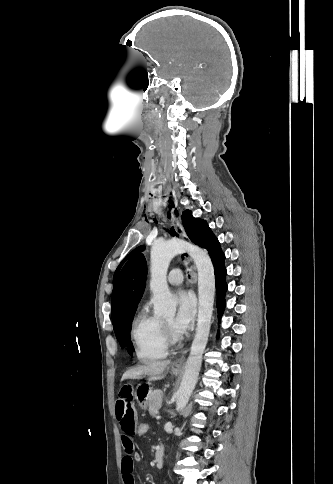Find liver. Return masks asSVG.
Returning a JSON list of instances; mask_svg holds the SVG:
<instances>
[{
    "label": "liver",
    "instance_id": "1",
    "mask_svg": "<svg viewBox=\"0 0 333 484\" xmlns=\"http://www.w3.org/2000/svg\"><path fill=\"white\" fill-rule=\"evenodd\" d=\"M170 363V360L153 361L146 365L137 366L126 371L122 376V380L136 379L141 376H149L151 379L160 380L163 378L162 375L168 369Z\"/></svg>",
    "mask_w": 333,
    "mask_h": 484
}]
</instances>
